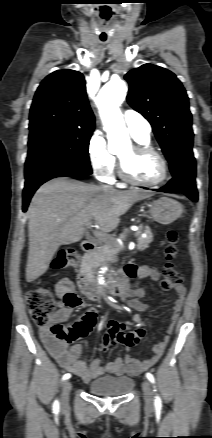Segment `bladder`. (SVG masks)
<instances>
[{"label":"bladder","mask_w":212,"mask_h":438,"mask_svg":"<svg viewBox=\"0 0 212 438\" xmlns=\"http://www.w3.org/2000/svg\"><path fill=\"white\" fill-rule=\"evenodd\" d=\"M133 385L134 380L127 376H102L91 381L88 390L98 396H122L128 394Z\"/></svg>","instance_id":"bladder-1"}]
</instances>
